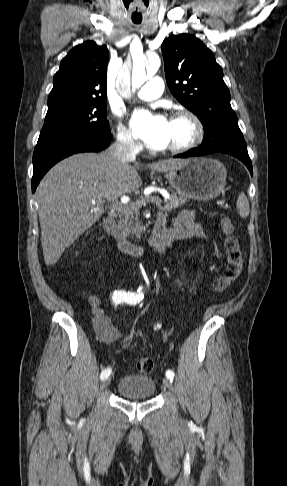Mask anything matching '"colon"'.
<instances>
[{
	"label": "colon",
	"mask_w": 287,
	"mask_h": 486,
	"mask_svg": "<svg viewBox=\"0 0 287 486\" xmlns=\"http://www.w3.org/2000/svg\"><path fill=\"white\" fill-rule=\"evenodd\" d=\"M221 227L226 266L222 275L214 281L213 286L216 291H223L235 282L241 276L244 266L243 253L231 223L224 220ZM136 368L141 373H149L154 368V360L150 357H141L136 361Z\"/></svg>",
	"instance_id": "obj_1"
}]
</instances>
